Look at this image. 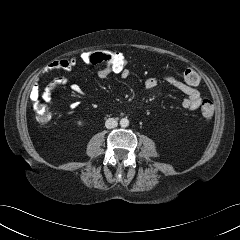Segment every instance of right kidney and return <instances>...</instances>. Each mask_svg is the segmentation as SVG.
I'll return each instance as SVG.
<instances>
[{
	"label": "right kidney",
	"instance_id": "ca27d5eb",
	"mask_svg": "<svg viewBox=\"0 0 240 240\" xmlns=\"http://www.w3.org/2000/svg\"><path fill=\"white\" fill-rule=\"evenodd\" d=\"M77 125L78 126H82L83 125V121L82 120L77 121Z\"/></svg>",
	"mask_w": 240,
	"mask_h": 240
}]
</instances>
